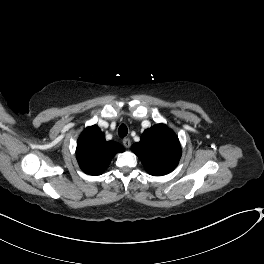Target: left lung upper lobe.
Masks as SVG:
<instances>
[{"mask_svg": "<svg viewBox=\"0 0 264 264\" xmlns=\"http://www.w3.org/2000/svg\"><path fill=\"white\" fill-rule=\"evenodd\" d=\"M131 150L140 158L146 171L161 176L173 171L181 157L177 135L164 124H157L144 131L139 143Z\"/></svg>", "mask_w": 264, "mask_h": 264, "instance_id": "5c2ea615", "label": "left lung upper lobe"}]
</instances>
